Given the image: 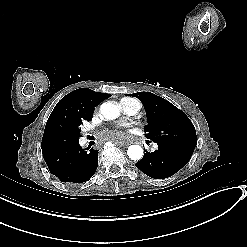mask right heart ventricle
<instances>
[{
  "instance_id": "obj_1",
  "label": "right heart ventricle",
  "mask_w": 247,
  "mask_h": 247,
  "mask_svg": "<svg viewBox=\"0 0 247 247\" xmlns=\"http://www.w3.org/2000/svg\"><path fill=\"white\" fill-rule=\"evenodd\" d=\"M119 106L124 110L127 111L126 108L129 106H135V110H138L141 106L140 102L138 100H133L131 98H122L119 101Z\"/></svg>"
}]
</instances>
